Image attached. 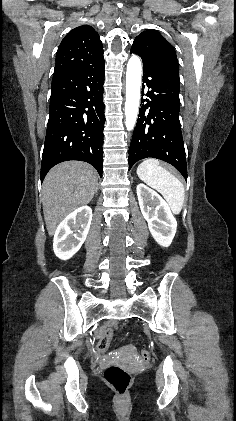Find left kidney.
Instances as JSON below:
<instances>
[{"mask_svg":"<svg viewBox=\"0 0 236 421\" xmlns=\"http://www.w3.org/2000/svg\"><path fill=\"white\" fill-rule=\"evenodd\" d=\"M137 196L140 211L148 223L153 239L161 247H169L175 237L177 227V221L170 211V206L158 192L142 182L137 184Z\"/></svg>","mask_w":236,"mask_h":421,"instance_id":"1","label":"left kidney"}]
</instances>
